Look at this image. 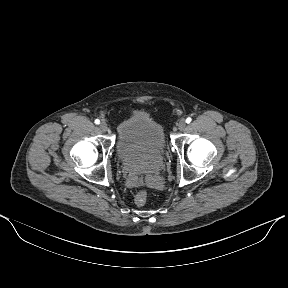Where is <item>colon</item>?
I'll list each match as a JSON object with an SVG mask.
<instances>
[{"label":"colon","instance_id":"colon-1","mask_svg":"<svg viewBox=\"0 0 288 288\" xmlns=\"http://www.w3.org/2000/svg\"><path fill=\"white\" fill-rule=\"evenodd\" d=\"M148 201V193L146 191H140L135 196V203L138 206H144Z\"/></svg>","mask_w":288,"mask_h":288}]
</instances>
